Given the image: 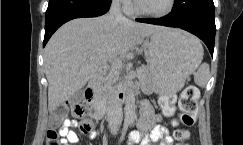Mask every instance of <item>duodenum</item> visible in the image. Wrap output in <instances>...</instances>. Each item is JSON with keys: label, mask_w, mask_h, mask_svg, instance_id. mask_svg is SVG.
Segmentation results:
<instances>
[{"label": "duodenum", "mask_w": 243, "mask_h": 145, "mask_svg": "<svg viewBox=\"0 0 243 145\" xmlns=\"http://www.w3.org/2000/svg\"><path fill=\"white\" fill-rule=\"evenodd\" d=\"M103 72L104 68H99L95 72L93 79L87 85L85 90V99L88 113L92 118L96 120L101 119L111 106L123 103L128 97V88L125 85H121L118 88L115 96L112 98L107 99L97 96L95 92V81L102 75Z\"/></svg>", "instance_id": "410a0bca"}]
</instances>
